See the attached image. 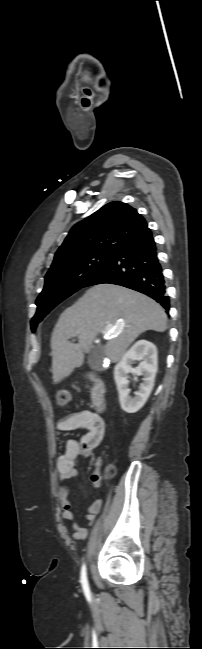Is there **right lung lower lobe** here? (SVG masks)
<instances>
[{"instance_id": "obj_1", "label": "right lung lower lobe", "mask_w": 202, "mask_h": 649, "mask_svg": "<svg viewBox=\"0 0 202 649\" xmlns=\"http://www.w3.org/2000/svg\"><path fill=\"white\" fill-rule=\"evenodd\" d=\"M102 283L144 293L169 311V297L151 231L121 248L84 287Z\"/></svg>"}]
</instances>
